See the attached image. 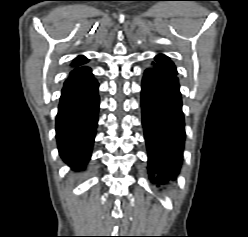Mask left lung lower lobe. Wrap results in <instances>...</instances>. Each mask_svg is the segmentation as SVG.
<instances>
[{
    "mask_svg": "<svg viewBox=\"0 0 248 237\" xmlns=\"http://www.w3.org/2000/svg\"><path fill=\"white\" fill-rule=\"evenodd\" d=\"M159 64V63H158ZM142 122L147 143L148 170L159 183L175 178L182 162L184 117L176 72L155 65L142 81Z\"/></svg>",
    "mask_w": 248,
    "mask_h": 237,
    "instance_id": "obj_1",
    "label": "left lung lower lobe"
}]
</instances>
